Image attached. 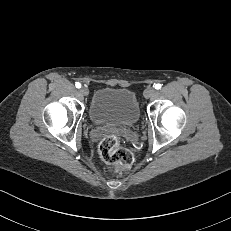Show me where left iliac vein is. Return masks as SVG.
<instances>
[{
	"instance_id": "1",
	"label": "left iliac vein",
	"mask_w": 231,
	"mask_h": 231,
	"mask_svg": "<svg viewBox=\"0 0 231 231\" xmlns=\"http://www.w3.org/2000/svg\"><path fill=\"white\" fill-rule=\"evenodd\" d=\"M155 93H156V90L153 87H148L144 91V97L146 99L151 98V97H153L155 95Z\"/></svg>"
}]
</instances>
